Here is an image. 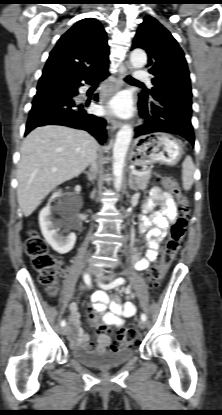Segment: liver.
Segmentation results:
<instances>
[{"label":"liver","mask_w":222,"mask_h":415,"mask_svg":"<svg viewBox=\"0 0 222 415\" xmlns=\"http://www.w3.org/2000/svg\"><path fill=\"white\" fill-rule=\"evenodd\" d=\"M97 141L86 131L46 125L24 139L17 168V199L25 217L58 185L79 176L91 162Z\"/></svg>","instance_id":"liver-1"}]
</instances>
